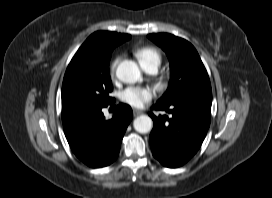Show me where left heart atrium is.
I'll return each mask as SVG.
<instances>
[{
  "instance_id": "left-heart-atrium-1",
  "label": "left heart atrium",
  "mask_w": 272,
  "mask_h": 198,
  "mask_svg": "<svg viewBox=\"0 0 272 198\" xmlns=\"http://www.w3.org/2000/svg\"><path fill=\"white\" fill-rule=\"evenodd\" d=\"M154 97L155 91L150 87H129L120 95L122 102L135 108H141Z\"/></svg>"
}]
</instances>
